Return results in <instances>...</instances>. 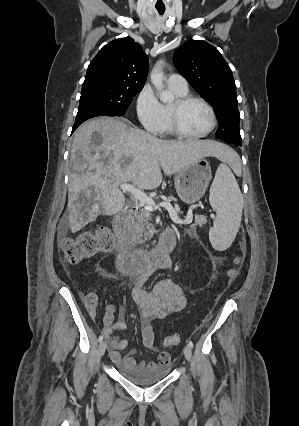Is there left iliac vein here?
<instances>
[{
  "label": "left iliac vein",
  "mask_w": 299,
  "mask_h": 426,
  "mask_svg": "<svg viewBox=\"0 0 299 426\" xmlns=\"http://www.w3.org/2000/svg\"><path fill=\"white\" fill-rule=\"evenodd\" d=\"M183 351H184L185 358L188 361H190L191 357H192V350H191V348L187 345V346L184 347Z\"/></svg>",
  "instance_id": "left-iliac-vein-1"
}]
</instances>
